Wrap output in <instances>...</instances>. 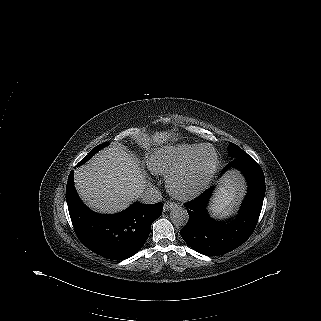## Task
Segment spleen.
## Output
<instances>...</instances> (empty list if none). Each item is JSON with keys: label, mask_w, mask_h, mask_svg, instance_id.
Listing matches in <instances>:
<instances>
[{"label": "spleen", "mask_w": 321, "mask_h": 321, "mask_svg": "<svg viewBox=\"0 0 321 321\" xmlns=\"http://www.w3.org/2000/svg\"><path fill=\"white\" fill-rule=\"evenodd\" d=\"M231 201L228 198L221 201L215 200V204L212 206V210L215 214H226L230 207Z\"/></svg>", "instance_id": "obj_1"}]
</instances>
